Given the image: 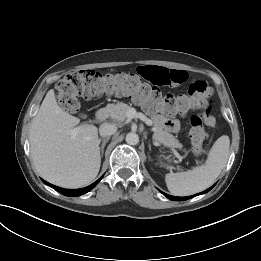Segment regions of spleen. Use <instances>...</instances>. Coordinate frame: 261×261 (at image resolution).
<instances>
[{
  "mask_svg": "<svg viewBox=\"0 0 261 261\" xmlns=\"http://www.w3.org/2000/svg\"><path fill=\"white\" fill-rule=\"evenodd\" d=\"M229 148L230 139L223 135L213 144L205 164L186 172L166 174L165 182L170 193L175 196H188L212 185L226 166Z\"/></svg>",
  "mask_w": 261,
  "mask_h": 261,
  "instance_id": "1",
  "label": "spleen"
}]
</instances>
